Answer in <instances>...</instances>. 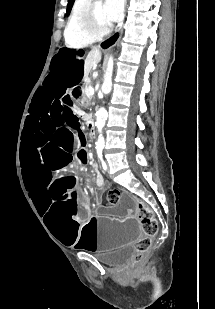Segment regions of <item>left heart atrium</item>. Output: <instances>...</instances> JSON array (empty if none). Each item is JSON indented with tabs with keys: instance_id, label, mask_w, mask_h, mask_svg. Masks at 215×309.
Segmentation results:
<instances>
[{
	"instance_id": "39dd6f15",
	"label": "left heart atrium",
	"mask_w": 215,
	"mask_h": 309,
	"mask_svg": "<svg viewBox=\"0 0 215 309\" xmlns=\"http://www.w3.org/2000/svg\"><path fill=\"white\" fill-rule=\"evenodd\" d=\"M106 6L109 8L97 20H113L115 22L119 19L121 12H125V5H121V0H106Z\"/></svg>"
}]
</instances>
